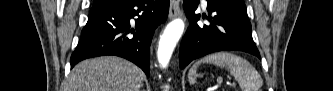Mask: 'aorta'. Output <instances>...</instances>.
<instances>
[{
  "label": "aorta",
  "mask_w": 333,
  "mask_h": 91,
  "mask_svg": "<svg viewBox=\"0 0 333 91\" xmlns=\"http://www.w3.org/2000/svg\"><path fill=\"white\" fill-rule=\"evenodd\" d=\"M184 31V22L181 19H175L170 22L163 34L160 36L158 46V61L165 68L172 56L174 48Z\"/></svg>",
  "instance_id": "1"
}]
</instances>
